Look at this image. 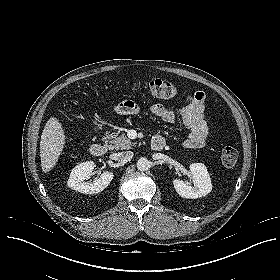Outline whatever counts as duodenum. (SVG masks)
<instances>
[{
	"mask_svg": "<svg viewBox=\"0 0 280 280\" xmlns=\"http://www.w3.org/2000/svg\"><path fill=\"white\" fill-rule=\"evenodd\" d=\"M165 146V141L162 137H154L151 141L153 150H162ZM90 152L94 157H101L107 152V145L104 142H96L91 144Z\"/></svg>",
	"mask_w": 280,
	"mask_h": 280,
	"instance_id": "duodenum-1",
	"label": "duodenum"
}]
</instances>
